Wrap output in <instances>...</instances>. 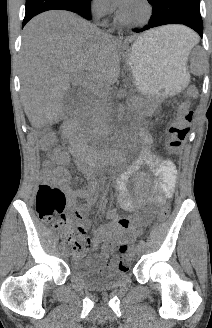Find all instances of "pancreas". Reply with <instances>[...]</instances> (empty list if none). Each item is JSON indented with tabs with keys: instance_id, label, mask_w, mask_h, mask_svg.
I'll return each mask as SVG.
<instances>
[{
	"instance_id": "1",
	"label": "pancreas",
	"mask_w": 212,
	"mask_h": 328,
	"mask_svg": "<svg viewBox=\"0 0 212 328\" xmlns=\"http://www.w3.org/2000/svg\"><path fill=\"white\" fill-rule=\"evenodd\" d=\"M147 106H148V102L142 97L139 96L132 97L131 104H130L131 109L141 113V110ZM83 125L86 133H91L92 131H94L91 130L92 126L88 122L85 121Z\"/></svg>"
}]
</instances>
